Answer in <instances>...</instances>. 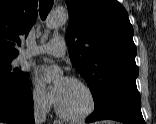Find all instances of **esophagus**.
I'll return each mask as SVG.
<instances>
[{"label":"esophagus","mask_w":156,"mask_h":124,"mask_svg":"<svg viewBox=\"0 0 156 124\" xmlns=\"http://www.w3.org/2000/svg\"><path fill=\"white\" fill-rule=\"evenodd\" d=\"M53 124H60V122L58 120H54Z\"/></svg>","instance_id":"1"}]
</instances>
